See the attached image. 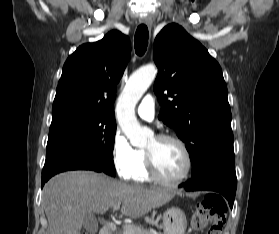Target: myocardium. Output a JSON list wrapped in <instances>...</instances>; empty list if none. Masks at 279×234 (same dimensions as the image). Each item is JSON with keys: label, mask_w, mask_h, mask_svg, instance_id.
Returning a JSON list of instances; mask_svg holds the SVG:
<instances>
[{"label": "myocardium", "mask_w": 279, "mask_h": 234, "mask_svg": "<svg viewBox=\"0 0 279 234\" xmlns=\"http://www.w3.org/2000/svg\"><path fill=\"white\" fill-rule=\"evenodd\" d=\"M155 140L157 142H165V141H170L179 146L181 151L184 154L185 161H186V166L184 169V172L175 180H168L164 178L158 171L156 161H155V156L154 152L152 150H145V157H146V165H147V170L150 176V179L153 181L164 185V186H169V187H177L180 184H182L190 175L192 167H193V159L191 156V153L186 146V144L178 137L174 135H169V134H160L155 137Z\"/></svg>", "instance_id": "myocardium-1"}]
</instances>
